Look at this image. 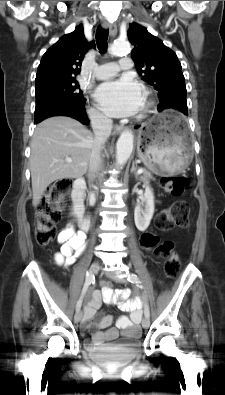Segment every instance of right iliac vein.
Wrapping results in <instances>:
<instances>
[{
  "label": "right iliac vein",
  "instance_id": "right-iliac-vein-1",
  "mask_svg": "<svg viewBox=\"0 0 225 395\" xmlns=\"http://www.w3.org/2000/svg\"><path fill=\"white\" fill-rule=\"evenodd\" d=\"M98 267H99V262H94V263L91 265L90 269H89V273L92 274V275H94V274L97 272ZM81 318H82V312H81L80 310H78V311L75 313V315H74V321H75L76 323H78V322L81 320Z\"/></svg>",
  "mask_w": 225,
  "mask_h": 395
}]
</instances>
